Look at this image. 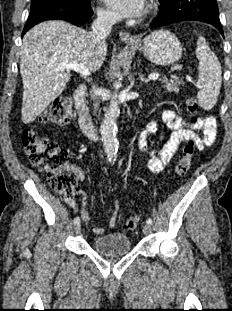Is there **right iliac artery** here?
<instances>
[{"instance_id": "1", "label": "right iliac artery", "mask_w": 232, "mask_h": 311, "mask_svg": "<svg viewBox=\"0 0 232 311\" xmlns=\"http://www.w3.org/2000/svg\"><path fill=\"white\" fill-rule=\"evenodd\" d=\"M74 223L75 224H79L80 223V218L79 217H75L74 218Z\"/></svg>"}]
</instances>
